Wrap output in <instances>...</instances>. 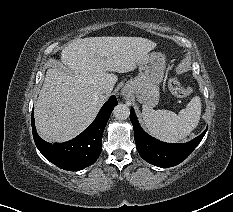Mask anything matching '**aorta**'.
I'll use <instances>...</instances> for the list:
<instances>
[{
  "mask_svg": "<svg viewBox=\"0 0 233 212\" xmlns=\"http://www.w3.org/2000/svg\"><path fill=\"white\" fill-rule=\"evenodd\" d=\"M113 114L118 120H125L130 115V109L126 104H118L113 111Z\"/></svg>",
  "mask_w": 233,
  "mask_h": 212,
  "instance_id": "1",
  "label": "aorta"
}]
</instances>
